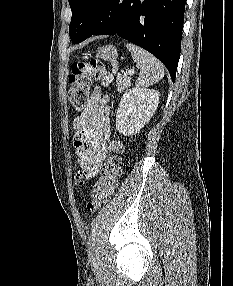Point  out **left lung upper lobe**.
I'll list each match as a JSON object with an SVG mask.
<instances>
[{
  "label": "left lung upper lobe",
  "instance_id": "obj_1",
  "mask_svg": "<svg viewBox=\"0 0 233 286\" xmlns=\"http://www.w3.org/2000/svg\"><path fill=\"white\" fill-rule=\"evenodd\" d=\"M105 0H69L72 19L69 25V35L74 43L86 31L94 16ZM89 11V14L86 11Z\"/></svg>",
  "mask_w": 233,
  "mask_h": 286
}]
</instances>
